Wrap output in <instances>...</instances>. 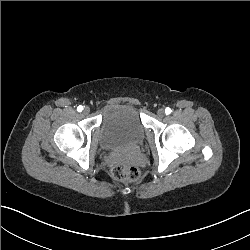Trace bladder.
Listing matches in <instances>:
<instances>
[{
	"mask_svg": "<svg viewBox=\"0 0 250 250\" xmlns=\"http://www.w3.org/2000/svg\"><path fill=\"white\" fill-rule=\"evenodd\" d=\"M146 127L140 112L126 103L107 105L95 132V142L100 150L120 148L144 140Z\"/></svg>",
	"mask_w": 250,
	"mask_h": 250,
	"instance_id": "1",
	"label": "bladder"
}]
</instances>
